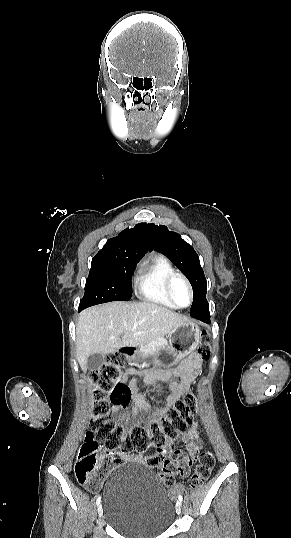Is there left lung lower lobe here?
Instances as JSON below:
<instances>
[{"label": "left lung lower lobe", "mask_w": 291, "mask_h": 538, "mask_svg": "<svg viewBox=\"0 0 291 538\" xmlns=\"http://www.w3.org/2000/svg\"><path fill=\"white\" fill-rule=\"evenodd\" d=\"M191 316L205 323L210 322V313H209V308L207 307H202L201 309L196 310L195 312L191 314Z\"/></svg>", "instance_id": "left-lung-lower-lobe-1"}]
</instances>
